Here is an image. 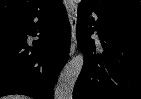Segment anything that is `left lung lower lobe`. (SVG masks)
Masks as SVG:
<instances>
[{"label": "left lung lower lobe", "instance_id": "0a47b994", "mask_svg": "<svg viewBox=\"0 0 141 99\" xmlns=\"http://www.w3.org/2000/svg\"><path fill=\"white\" fill-rule=\"evenodd\" d=\"M84 5L78 8L77 41L84 52L73 99H141V23L98 16L94 23ZM98 31L103 50L96 52L90 37Z\"/></svg>", "mask_w": 141, "mask_h": 99}]
</instances>
